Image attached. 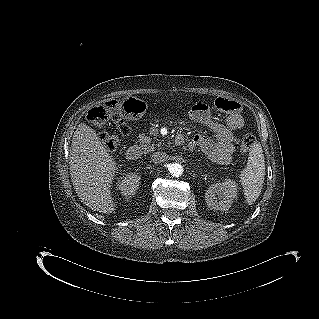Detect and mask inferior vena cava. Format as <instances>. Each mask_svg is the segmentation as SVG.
<instances>
[{"instance_id":"inferior-vena-cava-1","label":"inferior vena cava","mask_w":319,"mask_h":319,"mask_svg":"<svg viewBox=\"0 0 319 319\" xmlns=\"http://www.w3.org/2000/svg\"><path fill=\"white\" fill-rule=\"evenodd\" d=\"M152 162L155 164H161L168 160V155L164 152H155L152 154Z\"/></svg>"}]
</instances>
